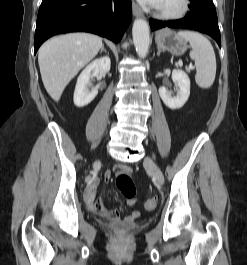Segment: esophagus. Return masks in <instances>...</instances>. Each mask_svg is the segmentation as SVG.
Returning a JSON list of instances; mask_svg holds the SVG:
<instances>
[{"label": "esophagus", "instance_id": "obj_1", "mask_svg": "<svg viewBox=\"0 0 247 265\" xmlns=\"http://www.w3.org/2000/svg\"><path fill=\"white\" fill-rule=\"evenodd\" d=\"M133 14L137 17H141L143 15L141 8L133 1L132 3Z\"/></svg>", "mask_w": 247, "mask_h": 265}]
</instances>
